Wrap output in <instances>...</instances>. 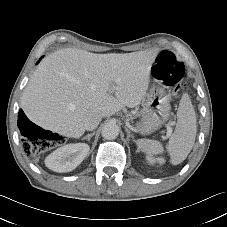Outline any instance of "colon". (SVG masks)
I'll list each match as a JSON object with an SVG mask.
<instances>
[{
  "instance_id": "colon-1",
  "label": "colon",
  "mask_w": 227,
  "mask_h": 227,
  "mask_svg": "<svg viewBox=\"0 0 227 227\" xmlns=\"http://www.w3.org/2000/svg\"><path fill=\"white\" fill-rule=\"evenodd\" d=\"M152 73L155 78L170 87L175 94L182 89L183 82L186 78L184 63L179 61L176 56L169 51H163L157 56L152 68ZM50 135L51 134L46 131H34L33 135L30 137L31 139L23 143L24 152L31 155L48 150L51 140Z\"/></svg>"
}]
</instances>
